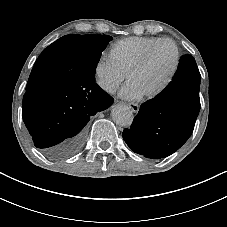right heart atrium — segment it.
Returning a JSON list of instances; mask_svg holds the SVG:
<instances>
[{
    "mask_svg": "<svg viewBox=\"0 0 227 227\" xmlns=\"http://www.w3.org/2000/svg\"><path fill=\"white\" fill-rule=\"evenodd\" d=\"M94 77L97 86L108 94H113L126 78V73L105 54L96 62Z\"/></svg>",
    "mask_w": 227,
    "mask_h": 227,
    "instance_id": "1",
    "label": "right heart atrium"
}]
</instances>
